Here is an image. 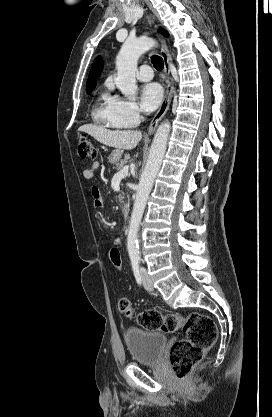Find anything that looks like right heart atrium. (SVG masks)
Here are the masks:
<instances>
[{
  "instance_id": "d8ad5b80",
  "label": "right heart atrium",
  "mask_w": 272,
  "mask_h": 417,
  "mask_svg": "<svg viewBox=\"0 0 272 417\" xmlns=\"http://www.w3.org/2000/svg\"><path fill=\"white\" fill-rule=\"evenodd\" d=\"M113 110L116 117L127 126L137 125L142 118L138 104L130 99H114Z\"/></svg>"
}]
</instances>
